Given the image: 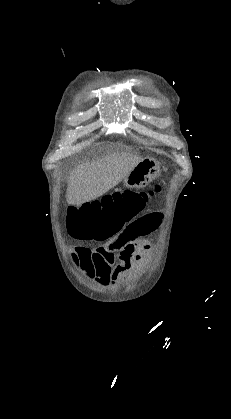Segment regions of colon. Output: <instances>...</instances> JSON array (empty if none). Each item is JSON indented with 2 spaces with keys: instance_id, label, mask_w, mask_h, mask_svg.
<instances>
[{
  "instance_id": "obj_1",
  "label": "colon",
  "mask_w": 231,
  "mask_h": 419,
  "mask_svg": "<svg viewBox=\"0 0 231 419\" xmlns=\"http://www.w3.org/2000/svg\"><path fill=\"white\" fill-rule=\"evenodd\" d=\"M159 190V187H155ZM153 190H125L88 202L68 211V225L75 233H85L94 241H107L121 233L125 226L144 209Z\"/></svg>"
}]
</instances>
